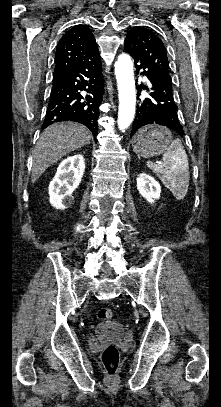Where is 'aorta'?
<instances>
[{
  "mask_svg": "<svg viewBox=\"0 0 221 407\" xmlns=\"http://www.w3.org/2000/svg\"><path fill=\"white\" fill-rule=\"evenodd\" d=\"M115 75L119 92L118 128L125 131L134 119L136 103L133 62L128 54L118 57Z\"/></svg>",
  "mask_w": 221,
  "mask_h": 407,
  "instance_id": "762f6f07",
  "label": "aorta"
}]
</instances>
